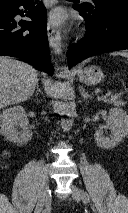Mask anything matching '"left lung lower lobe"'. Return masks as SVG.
I'll return each instance as SVG.
<instances>
[{
  "mask_svg": "<svg viewBox=\"0 0 128 213\" xmlns=\"http://www.w3.org/2000/svg\"><path fill=\"white\" fill-rule=\"evenodd\" d=\"M73 8L84 13L87 39H82L77 46H72L68 53L69 65L101 53L128 49V7H117L103 14L88 10L82 4Z\"/></svg>",
  "mask_w": 128,
  "mask_h": 213,
  "instance_id": "obj_1",
  "label": "left lung lower lobe"
}]
</instances>
